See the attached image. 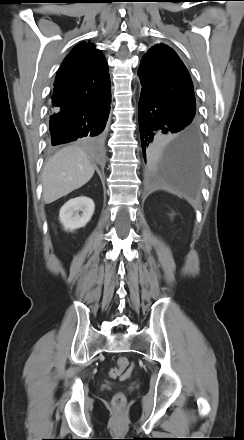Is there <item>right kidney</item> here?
Returning <instances> with one entry per match:
<instances>
[{"instance_id": "right-kidney-1", "label": "right kidney", "mask_w": 244, "mask_h": 440, "mask_svg": "<svg viewBox=\"0 0 244 440\" xmlns=\"http://www.w3.org/2000/svg\"><path fill=\"white\" fill-rule=\"evenodd\" d=\"M95 205L92 199L80 196L67 201L60 209L59 220L65 230H76L85 227L91 220ZM82 212V214H79Z\"/></svg>"}]
</instances>
